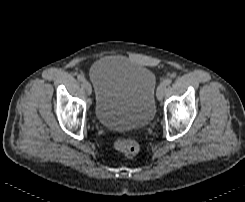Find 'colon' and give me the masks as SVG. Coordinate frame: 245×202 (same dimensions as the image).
I'll return each instance as SVG.
<instances>
[{
    "mask_svg": "<svg viewBox=\"0 0 245 202\" xmlns=\"http://www.w3.org/2000/svg\"><path fill=\"white\" fill-rule=\"evenodd\" d=\"M114 146L117 151L126 157H133L139 151V144L132 139H118L115 141Z\"/></svg>",
    "mask_w": 245,
    "mask_h": 202,
    "instance_id": "obj_1",
    "label": "colon"
}]
</instances>
